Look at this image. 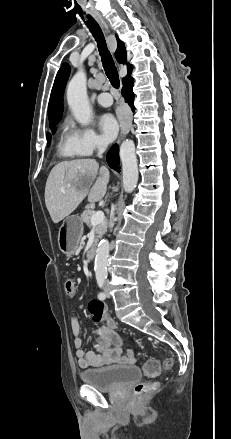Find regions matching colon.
I'll list each match as a JSON object with an SVG mask.
<instances>
[{"label":"colon","mask_w":231,"mask_h":439,"mask_svg":"<svg viewBox=\"0 0 231 439\" xmlns=\"http://www.w3.org/2000/svg\"><path fill=\"white\" fill-rule=\"evenodd\" d=\"M65 293L73 297L76 294V284L74 280L68 279L64 284ZM89 312L92 316L93 321L100 322L107 317L105 305L103 302L99 300H92L88 305ZM164 368L171 369L174 365V360L172 358H167L164 361ZM160 372V365L156 360H150L146 362L143 366V373L147 378H155L158 376ZM155 388V384H148L144 382H140L134 387V394L137 397H140L147 393L148 391Z\"/></svg>","instance_id":"1"}]
</instances>
